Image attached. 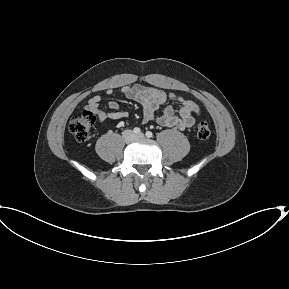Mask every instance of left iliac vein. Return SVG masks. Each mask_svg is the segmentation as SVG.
<instances>
[{"label": "left iliac vein", "instance_id": "left-iliac-vein-1", "mask_svg": "<svg viewBox=\"0 0 289 289\" xmlns=\"http://www.w3.org/2000/svg\"><path fill=\"white\" fill-rule=\"evenodd\" d=\"M136 139H143L144 138V134L140 133L138 135L135 136Z\"/></svg>", "mask_w": 289, "mask_h": 289}]
</instances>
